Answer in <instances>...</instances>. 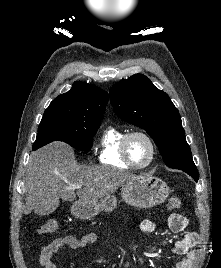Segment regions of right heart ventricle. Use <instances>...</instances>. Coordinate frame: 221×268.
<instances>
[{
	"mask_svg": "<svg viewBox=\"0 0 221 268\" xmlns=\"http://www.w3.org/2000/svg\"><path fill=\"white\" fill-rule=\"evenodd\" d=\"M126 134V130L115 126L104 130L99 143L98 158L101 163L122 169L130 168L121 152L122 140Z\"/></svg>",
	"mask_w": 221,
	"mask_h": 268,
	"instance_id": "obj_1",
	"label": "right heart ventricle"
}]
</instances>
